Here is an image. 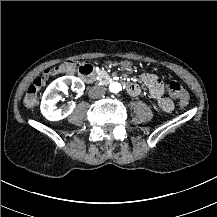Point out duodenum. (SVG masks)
<instances>
[{"label": "duodenum", "instance_id": "obj_1", "mask_svg": "<svg viewBox=\"0 0 217 217\" xmlns=\"http://www.w3.org/2000/svg\"><path fill=\"white\" fill-rule=\"evenodd\" d=\"M80 75L86 82H92L95 77V67L91 64H84L80 67ZM126 90L131 95H136L139 92V87L135 83H128Z\"/></svg>", "mask_w": 217, "mask_h": 217}]
</instances>
